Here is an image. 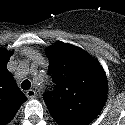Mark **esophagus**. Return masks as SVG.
<instances>
[{"mask_svg": "<svg viewBox=\"0 0 125 125\" xmlns=\"http://www.w3.org/2000/svg\"><path fill=\"white\" fill-rule=\"evenodd\" d=\"M36 91L34 89H29L28 91H26V96L29 99H34L36 97Z\"/></svg>", "mask_w": 125, "mask_h": 125, "instance_id": "obj_1", "label": "esophagus"}]
</instances>
